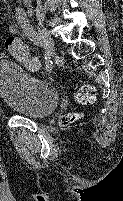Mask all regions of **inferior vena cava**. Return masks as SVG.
Instances as JSON below:
<instances>
[{
    "label": "inferior vena cava",
    "mask_w": 123,
    "mask_h": 201,
    "mask_svg": "<svg viewBox=\"0 0 123 201\" xmlns=\"http://www.w3.org/2000/svg\"><path fill=\"white\" fill-rule=\"evenodd\" d=\"M25 4H29L31 3V0H23Z\"/></svg>",
    "instance_id": "obj_1"
}]
</instances>
